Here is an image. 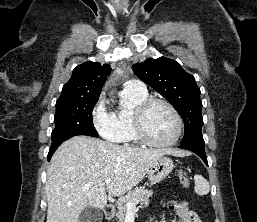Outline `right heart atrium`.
Here are the masks:
<instances>
[{
    "label": "right heart atrium",
    "instance_id": "d8ad5b80",
    "mask_svg": "<svg viewBox=\"0 0 257 222\" xmlns=\"http://www.w3.org/2000/svg\"><path fill=\"white\" fill-rule=\"evenodd\" d=\"M95 127L99 134L108 140L115 141L118 138L119 131L116 127L112 114L107 117L106 123L96 121Z\"/></svg>",
    "mask_w": 257,
    "mask_h": 222
}]
</instances>
